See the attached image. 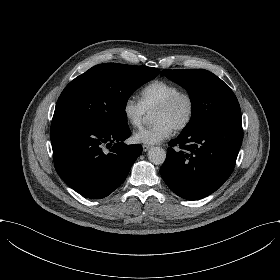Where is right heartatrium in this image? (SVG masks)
<instances>
[{
	"instance_id": "obj_1",
	"label": "right heart atrium",
	"mask_w": 280,
	"mask_h": 280,
	"mask_svg": "<svg viewBox=\"0 0 280 280\" xmlns=\"http://www.w3.org/2000/svg\"><path fill=\"white\" fill-rule=\"evenodd\" d=\"M143 104L133 98H127L122 104V113L125 120L134 127H138L146 114Z\"/></svg>"
}]
</instances>
